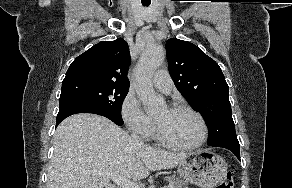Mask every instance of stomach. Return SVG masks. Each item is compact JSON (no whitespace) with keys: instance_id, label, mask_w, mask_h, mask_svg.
Segmentation results:
<instances>
[{"instance_id":"1","label":"stomach","mask_w":292,"mask_h":188,"mask_svg":"<svg viewBox=\"0 0 292 188\" xmlns=\"http://www.w3.org/2000/svg\"><path fill=\"white\" fill-rule=\"evenodd\" d=\"M227 163L210 149H199L188 153L179 163L181 177L201 188H213L227 173Z\"/></svg>"}]
</instances>
